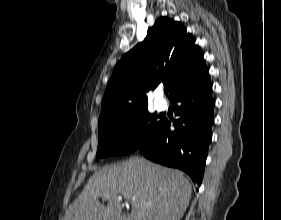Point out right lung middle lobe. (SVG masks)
Instances as JSON below:
<instances>
[{
	"label": "right lung middle lobe",
	"mask_w": 281,
	"mask_h": 220,
	"mask_svg": "<svg viewBox=\"0 0 281 220\" xmlns=\"http://www.w3.org/2000/svg\"><path fill=\"white\" fill-rule=\"evenodd\" d=\"M148 109L121 116L99 125L97 158L129 154L159 128L163 119Z\"/></svg>",
	"instance_id": "obj_1"
}]
</instances>
